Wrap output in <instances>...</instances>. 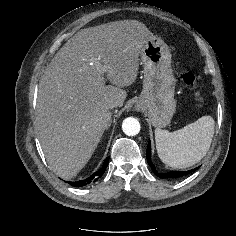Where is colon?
Wrapping results in <instances>:
<instances>
[{"label": "colon", "instance_id": "obj_1", "mask_svg": "<svg viewBox=\"0 0 236 236\" xmlns=\"http://www.w3.org/2000/svg\"><path fill=\"white\" fill-rule=\"evenodd\" d=\"M182 81L184 82V84L191 87L192 89L197 88V77L192 72H185L182 75ZM196 100L198 103H201L203 101L199 94H196Z\"/></svg>", "mask_w": 236, "mask_h": 236}]
</instances>
